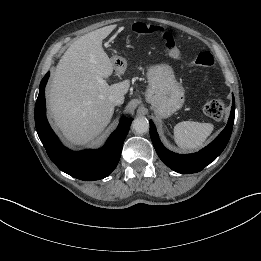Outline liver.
<instances>
[{
    "label": "liver",
    "mask_w": 261,
    "mask_h": 261,
    "mask_svg": "<svg viewBox=\"0 0 261 261\" xmlns=\"http://www.w3.org/2000/svg\"><path fill=\"white\" fill-rule=\"evenodd\" d=\"M110 29L101 28L77 39L60 59L48 95L55 126L73 144L85 145L109 124L115 105L112 94L125 95L128 80L108 85L114 65L102 47Z\"/></svg>",
    "instance_id": "1"
}]
</instances>
